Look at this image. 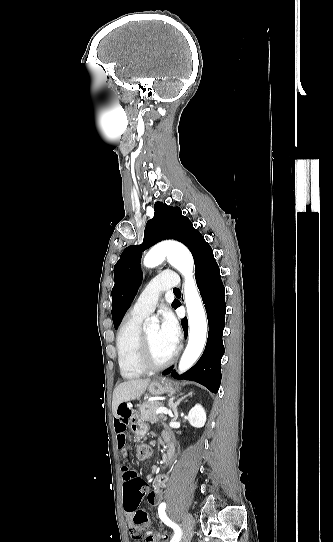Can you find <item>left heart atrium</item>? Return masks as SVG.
Returning <instances> with one entry per match:
<instances>
[{
	"mask_svg": "<svg viewBox=\"0 0 333 542\" xmlns=\"http://www.w3.org/2000/svg\"><path fill=\"white\" fill-rule=\"evenodd\" d=\"M161 334L175 350L180 342L181 330L177 319L169 310H164L161 321Z\"/></svg>",
	"mask_w": 333,
	"mask_h": 542,
	"instance_id": "39dd6f15",
	"label": "left heart atrium"
}]
</instances>
